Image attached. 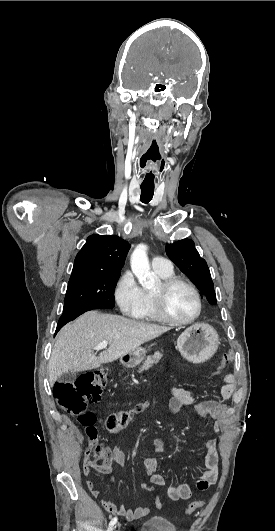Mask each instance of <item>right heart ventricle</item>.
<instances>
[{"instance_id": "1", "label": "right heart ventricle", "mask_w": 275, "mask_h": 531, "mask_svg": "<svg viewBox=\"0 0 275 531\" xmlns=\"http://www.w3.org/2000/svg\"><path fill=\"white\" fill-rule=\"evenodd\" d=\"M158 274L162 278H166L169 276H172L173 273H161L158 272ZM146 293V304L144 309L136 316V318L141 319L143 321H160V317L156 313L154 301L151 292H145Z\"/></svg>"}]
</instances>
